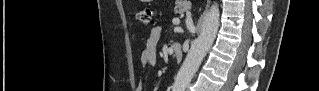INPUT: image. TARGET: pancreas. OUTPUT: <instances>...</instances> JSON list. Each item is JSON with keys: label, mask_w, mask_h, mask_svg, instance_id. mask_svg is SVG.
<instances>
[{"label": "pancreas", "mask_w": 319, "mask_h": 91, "mask_svg": "<svg viewBox=\"0 0 319 91\" xmlns=\"http://www.w3.org/2000/svg\"><path fill=\"white\" fill-rule=\"evenodd\" d=\"M189 4H179L177 3L176 4V7H175V11L177 13H183V12H186L187 10H189Z\"/></svg>", "instance_id": "cf45deb5"}]
</instances>
